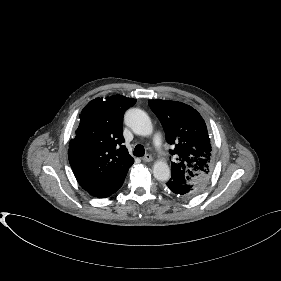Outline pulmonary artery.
Here are the masks:
<instances>
[{"mask_svg": "<svg viewBox=\"0 0 281 281\" xmlns=\"http://www.w3.org/2000/svg\"><path fill=\"white\" fill-rule=\"evenodd\" d=\"M154 143H155L156 146H160L161 145V138H160L159 135L155 136Z\"/></svg>", "mask_w": 281, "mask_h": 281, "instance_id": "1", "label": "pulmonary artery"}]
</instances>
